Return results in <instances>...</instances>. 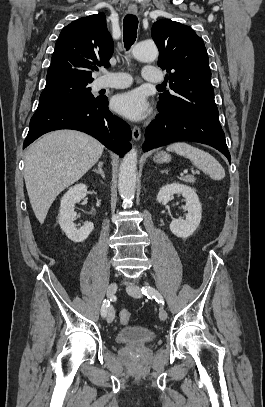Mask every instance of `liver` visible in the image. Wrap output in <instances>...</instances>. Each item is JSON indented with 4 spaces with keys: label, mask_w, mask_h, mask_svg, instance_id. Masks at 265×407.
I'll return each instance as SVG.
<instances>
[{
    "label": "liver",
    "mask_w": 265,
    "mask_h": 407,
    "mask_svg": "<svg viewBox=\"0 0 265 407\" xmlns=\"http://www.w3.org/2000/svg\"><path fill=\"white\" fill-rule=\"evenodd\" d=\"M103 149L95 138L75 130L51 132L27 149L24 179L41 224L56 197L96 164Z\"/></svg>",
    "instance_id": "6515ba94"
}]
</instances>
